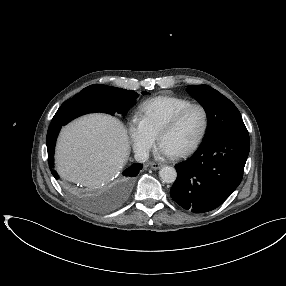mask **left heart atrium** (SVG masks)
I'll list each match as a JSON object with an SVG mask.
<instances>
[{"instance_id":"1","label":"left heart atrium","mask_w":286,"mask_h":286,"mask_svg":"<svg viewBox=\"0 0 286 286\" xmlns=\"http://www.w3.org/2000/svg\"><path fill=\"white\" fill-rule=\"evenodd\" d=\"M159 151L161 154H163L165 156L172 155V153L170 151H168L166 148H164L162 145L159 146Z\"/></svg>"}]
</instances>
